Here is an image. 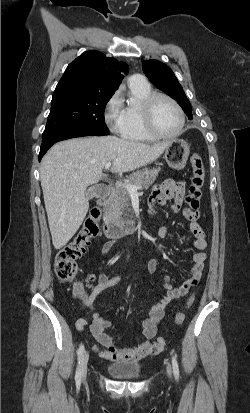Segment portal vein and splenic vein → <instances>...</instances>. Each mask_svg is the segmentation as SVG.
<instances>
[{
    "label": "portal vein and splenic vein",
    "mask_w": 250,
    "mask_h": 413,
    "mask_svg": "<svg viewBox=\"0 0 250 413\" xmlns=\"http://www.w3.org/2000/svg\"><path fill=\"white\" fill-rule=\"evenodd\" d=\"M111 165H112L111 162L106 163V164H105V169H106V170L109 169V168L111 167ZM118 184H122V183H121V182H120V183L118 182ZM125 188L128 190V192H129L130 194H137V191H138L139 189H141V186H134V185L127 184V185H125Z\"/></svg>",
    "instance_id": "portal-vein-and-splenic-vein-1"
}]
</instances>
